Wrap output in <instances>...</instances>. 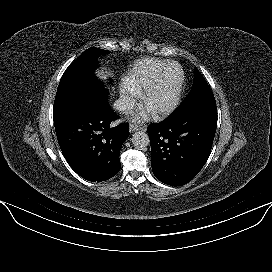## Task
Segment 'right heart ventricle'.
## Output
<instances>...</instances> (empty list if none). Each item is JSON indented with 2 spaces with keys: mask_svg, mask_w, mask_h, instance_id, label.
I'll return each instance as SVG.
<instances>
[{
  "mask_svg": "<svg viewBox=\"0 0 272 272\" xmlns=\"http://www.w3.org/2000/svg\"><path fill=\"white\" fill-rule=\"evenodd\" d=\"M167 64H169L168 61L158 58L141 59L128 69L123 77V86L140 94Z\"/></svg>",
  "mask_w": 272,
  "mask_h": 272,
  "instance_id": "e07e8e85",
  "label": "right heart ventricle"
}]
</instances>
